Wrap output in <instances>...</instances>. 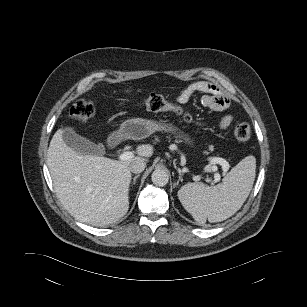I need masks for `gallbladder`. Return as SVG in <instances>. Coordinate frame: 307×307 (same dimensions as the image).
Masks as SVG:
<instances>
[{
  "label": "gallbladder",
  "mask_w": 307,
  "mask_h": 307,
  "mask_svg": "<svg viewBox=\"0 0 307 307\" xmlns=\"http://www.w3.org/2000/svg\"><path fill=\"white\" fill-rule=\"evenodd\" d=\"M62 138L65 144L77 153L96 156L105 154L103 145H96L87 138L78 135L72 128H65L62 131Z\"/></svg>",
  "instance_id": "gallbladder-1"
}]
</instances>
